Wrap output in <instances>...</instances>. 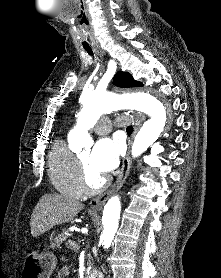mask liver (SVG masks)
I'll return each mask as SVG.
<instances>
[{
  "label": "liver",
  "mask_w": 221,
  "mask_h": 278,
  "mask_svg": "<svg viewBox=\"0 0 221 278\" xmlns=\"http://www.w3.org/2000/svg\"><path fill=\"white\" fill-rule=\"evenodd\" d=\"M83 208V203L70 197L43 195L31 215V235L38 237L56 225L70 222Z\"/></svg>",
  "instance_id": "1"
}]
</instances>
